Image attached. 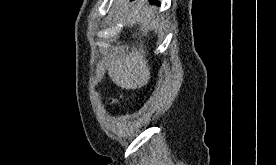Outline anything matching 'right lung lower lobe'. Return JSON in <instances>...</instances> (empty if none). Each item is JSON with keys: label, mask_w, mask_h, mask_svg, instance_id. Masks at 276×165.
I'll return each mask as SVG.
<instances>
[{"label": "right lung lower lobe", "mask_w": 276, "mask_h": 165, "mask_svg": "<svg viewBox=\"0 0 276 165\" xmlns=\"http://www.w3.org/2000/svg\"><path fill=\"white\" fill-rule=\"evenodd\" d=\"M150 2H151V3H153V2H154V3H156V1H155V0H150Z\"/></svg>", "instance_id": "98d812e1"}]
</instances>
